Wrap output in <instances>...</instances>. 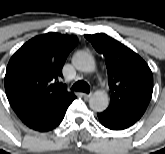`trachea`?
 <instances>
[{
    "instance_id": "obj_1",
    "label": "trachea",
    "mask_w": 165,
    "mask_h": 154,
    "mask_svg": "<svg viewBox=\"0 0 165 154\" xmlns=\"http://www.w3.org/2000/svg\"><path fill=\"white\" fill-rule=\"evenodd\" d=\"M72 90L89 93L90 87L86 82L78 81L72 86Z\"/></svg>"
}]
</instances>
